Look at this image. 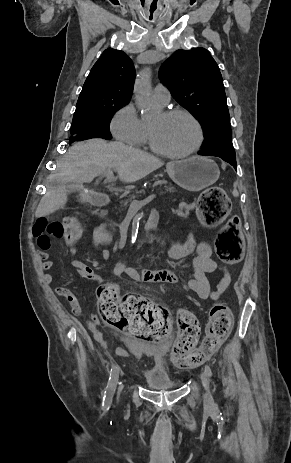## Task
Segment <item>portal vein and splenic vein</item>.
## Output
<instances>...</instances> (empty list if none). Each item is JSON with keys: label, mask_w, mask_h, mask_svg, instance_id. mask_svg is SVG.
Returning <instances> with one entry per match:
<instances>
[{"label": "portal vein and splenic vein", "mask_w": 291, "mask_h": 463, "mask_svg": "<svg viewBox=\"0 0 291 463\" xmlns=\"http://www.w3.org/2000/svg\"><path fill=\"white\" fill-rule=\"evenodd\" d=\"M107 179H111L113 177V174L111 172L106 173ZM156 194H153L150 198H155ZM144 205V201H138V200H133L131 202V207L135 210H139L142 206Z\"/></svg>", "instance_id": "18ae733b"}]
</instances>
